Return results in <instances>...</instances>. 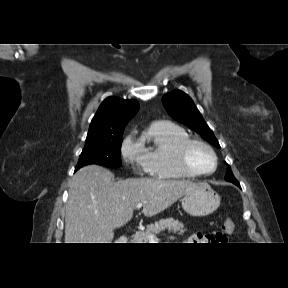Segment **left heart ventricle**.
<instances>
[{
  "mask_svg": "<svg viewBox=\"0 0 288 288\" xmlns=\"http://www.w3.org/2000/svg\"><path fill=\"white\" fill-rule=\"evenodd\" d=\"M189 156L193 166L201 171L209 172L214 168L213 156L201 146L192 147Z\"/></svg>",
  "mask_w": 288,
  "mask_h": 288,
  "instance_id": "obj_1",
  "label": "left heart ventricle"
}]
</instances>
